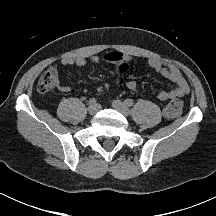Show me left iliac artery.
<instances>
[{
	"instance_id": "44dca946",
	"label": "left iliac artery",
	"mask_w": 216,
	"mask_h": 216,
	"mask_svg": "<svg viewBox=\"0 0 216 216\" xmlns=\"http://www.w3.org/2000/svg\"><path fill=\"white\" fill-rule=\"evenodd\" d=\"M125 104H126L127 106H132V105L134 104V101H133L132 99H126V100H125Z\"/></svg>"
}]
</instances>
